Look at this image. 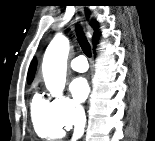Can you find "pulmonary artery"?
<instances>
[{
  "label": "pulmonary artery",
  "mask_w": 155,
  "mask_h": 141,
  "mask_svg": "<svg viewBox=\"0 0 155 141\" xmlns=\"http://www.w3.org/2000/svg\"><path fill=\"white\" fill-rule=\"evenodd\" d=\"M70 66L73 70L78 72H85L88 69V63L84 56L75 57L71 62Z\"/></svg>",
  "instance_id": "obj_1"
}]
</instances>
